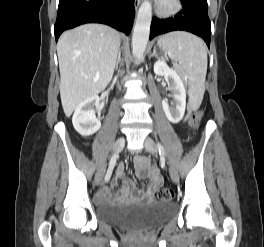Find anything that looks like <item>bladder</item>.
<instances>
[{
  "mask_svg": "<svg viewBox=\"0 0 264 247\" xmlns=\"http://www.w3.org/2000/svg\"><path fill=\"white\" fill-rule=\"evenodd\" d=\"M174 209L171 203L153 202L100 206L96 212L98 220L103 223L127 231L145 232L169 221Z\"/></svg>",
  "mask_w": 264,
  "mask_h": 247,
  "instance_id": "1",
  "label": "bladder"
}]
</instances>
